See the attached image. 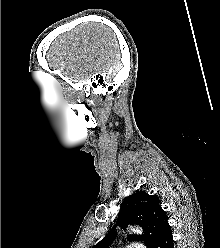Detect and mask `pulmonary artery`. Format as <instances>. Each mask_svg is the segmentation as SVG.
<instances>
[{
    "mask_svg": "<svg viewBox=\"0 0 220 248\" xmlns=\"http://www.w3.org/2000/svg\"><path fill=\"white\" fill-rule=\"evenodd\" d=\"M126 248H145V247L141 244L136 243V244H132Z\"/></svg>",
    "mask_w": 220,
    "mask_h": 248,
    "instance_id": "e3ab8cb5",
    "label": "pulmonary artery"
}]
</instances>
